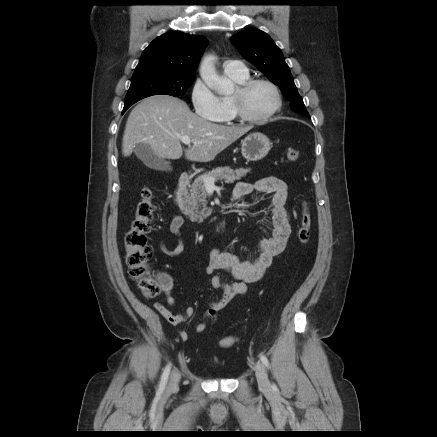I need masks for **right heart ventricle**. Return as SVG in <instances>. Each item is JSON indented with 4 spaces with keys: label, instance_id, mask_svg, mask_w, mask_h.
Masks as SVG:
<instances>
[{
    "label": "right heart ventricle",
    "instance_id": "obj_1",
    "mask_svg": "<svg viewBox=\"0 0 437 437\" xmlns=\"http://www.w3.org/2000/svg\"><path fill=\"white\" fill-rule=\"evenodd\" d=\"M229 77L237 84H241L249 79V74L247 72L244 75H229ZM220 99L223 105V114L217 121L224 124H230L237 119L233 109L231 96H223L220 97Z\"/></svg>",
    "mask_w": 437,
    "mask_h": 437
}]
</instances>
